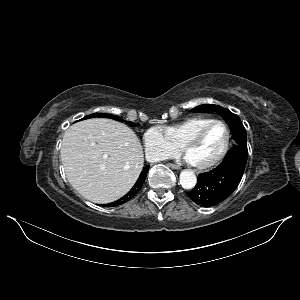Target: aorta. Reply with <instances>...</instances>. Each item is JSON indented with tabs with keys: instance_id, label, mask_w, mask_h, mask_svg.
Returning <instances> with one entry per match:
<instances>
[{
	"instance_id": "1",
	"label": "aorta",
	"mask_w": 300,
	"mask_h": 300,
	"mask_svg": "<svg viewBox=\"0 0 300 300\" xmlns=\"http://www.w3.org/2000/svg\"><path fill=\"white\" fill-rule=\"evenodd\" d=\"M197 183L196 175L191 170H183L180 173V184L184 189H192Z\"/></svg>"
}]
</instances>
